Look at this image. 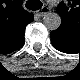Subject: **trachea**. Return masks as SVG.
I'll use <instances>...</instances> for the list:
<instances>
[{
  "label": "trachea",
  "instance_id": "1",
  "mask_svg": "<svg viewBox=\"0 0 80 80\" xmlns=\"http://www.w3.org/2000/svg\"><path fill=\"white\" fill-rule=\"evenodd\" d=\"M32 6L33 7H31L30 10H33V11L39 10L42 7V5L37 4L36 1L32 3Z\"/></svg>",
  "mask_w": 80,
  "mask_h": 80
}]
</instances>
